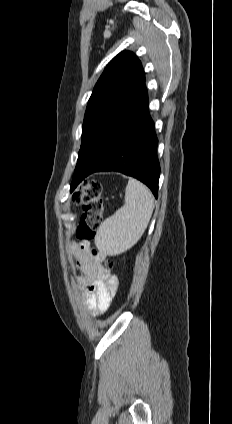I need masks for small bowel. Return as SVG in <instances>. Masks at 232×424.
Wrapping results in <instances>:
<instances>
[{"label": "small bowel", "instance_id": "obj_1", "mask_svg": "<svg viewBox=\"0 0 232 424\" xmlns=\"http://www.w3.org/2000/svg\"><path fill=\"white\" fill-rule=\"evenodd\" d=\"M89 247L86 242L73 243L68 255L82 273L79 287L83 294V304L94 316H98L109 308L117 292V279L102 269L98 258L89 255Z\"/></svg>", "mask_w": 232, "mask_h": 424}]
</instances>
